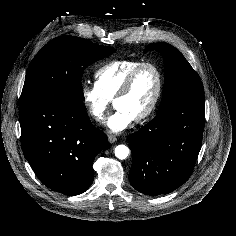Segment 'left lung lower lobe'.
Instances as JSON below:
<instances>
[{"label": "left lung lower lobe", "instance_id": "obj_1", "mask_svg": "<svg viewBox=\"0 0 236 236\" xmlns=\"http://www.w3.org/2000/svg\"><path fill=\"white\" fill-rule=\"evenodd\" d=\"M204 123V101H185L159 112L131 134V185L143 194L156 196L184 184L201 148Z\"/></svg>", "mask_w": 236, "mask_h": 236}]
</instances>
